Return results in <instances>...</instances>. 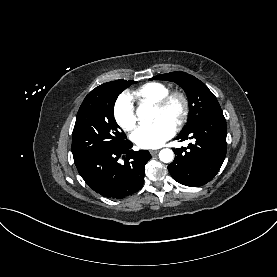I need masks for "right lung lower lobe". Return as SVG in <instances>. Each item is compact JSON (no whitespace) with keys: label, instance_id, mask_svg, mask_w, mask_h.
Masks as SVG:
<instances>
[{"label":"right lung lower lobe","instance_id":"1","mask_svg":"<svg viewBox=\"0 0 277 277\" xmlns=\"http://www.w3.org/2000/svg\"><path fill=\"white\" fill-rule=\"evenodd\" d=\"M127 141L121 146L97 148L74 159L81 177L95 192L104 197L121 199L140 190L144 167L151 155L146 150H131ZM122 158L124 163L118 160Z\"/></svg>","mask_w":277,"mask_h":277}]
</instances>
